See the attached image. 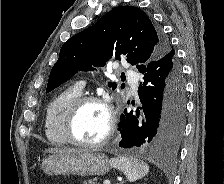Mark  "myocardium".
I'll return each instance as SVG.
<instances>
[{
	"instance_id": "myocardium-1",
	"label": "myocardium",
	"mask_w": 224,
	"mask_h": 184,
	"mask_svg": "<svg viewBox=\"0 0 224 184\" xmlns=\"http://www.w3.org/2000/svg\"><path fill=\"white\" fill-rule=\"evenodd\" d=\"M89 103H95L103 106L108 113V127L105 136L96 142L80 141L74 132V125L80 110ZM117 125L116 112L111 103L102 96L80 95L68 108L63 125L64 135L68 143L81 148L94 149L105 145L114 135Z\"/></svg>"
}]
</instances>
